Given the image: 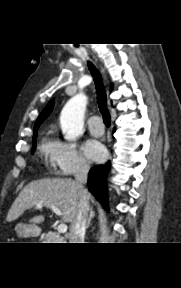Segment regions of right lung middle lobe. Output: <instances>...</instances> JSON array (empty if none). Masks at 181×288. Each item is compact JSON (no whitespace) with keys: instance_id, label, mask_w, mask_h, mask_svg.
<instances>
[{"instance_id":"1","label":"right lung middle lobe","mask_w":181,"mask_h":288,"mask_svg":"<svg viewBox=\"0 0 181 288\" xmlns=\"http://www.w3.org/2000/svg\"><path fill=\"white\" fill-rule=\"evenodd\" d=\"M35 148H36V144H35V141H33L32 153L35 151Z\"/></svg>"}]
</instances>
